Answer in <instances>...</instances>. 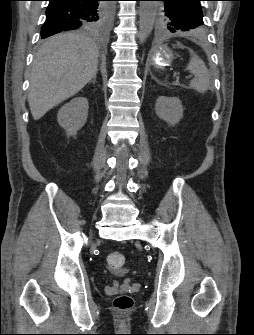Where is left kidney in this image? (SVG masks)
<instances>
[{
  "instance_id": "5707ae66",
  "label": "left kidney",
  "mask_w": 254,
  "mask_h": 335,
  "mask_svg": "<svg viewBox=\"0 0 254 335\" xmlns=\"http://www.w3.org/2000/svg\"><path fill=\"white\" fill-rule=\"evenodd\" d=\"M183 106L179 98L160 96L156 100L155 112L169 125L177 124L183 117Z\"/></svg>"
}]
</instances>
